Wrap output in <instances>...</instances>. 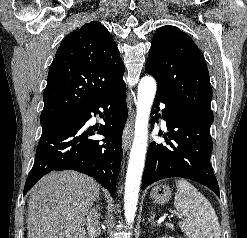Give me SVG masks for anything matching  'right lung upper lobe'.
Wrapping results in <instances>:
<instances>
[{
	"label": "right lung upper lobe",
	"mask_w": 247,
	"mask_h": 238,
	"mask_svg": "<svg viewBox=\"0 0 247 238\" xmlns=\"http://www.w3.org/2000/svg\"><path fill=\"white\" fill-rule=\"evenodd\" d=\"M124 64L98 21L71 32L57 50L44 91L40 121L64 117L122 84Z\"/></svg>",
	"instance_id": "cb5924a9"
}]
</instances>
